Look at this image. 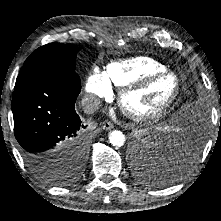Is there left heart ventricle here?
I'll return each mask as SVG.
<instances>
[{
  "label": "left heart ventricle",
  "mask_w": 221,
  "mask_h": 221,
  "mask_svg": "<svg viewBox=\"0 0 221 221\" xmlns=\"http://www.w3.org/2000/svg\"><path fill=\"white\" fill-rule=\"evenodd\" d=\"M175 83L170 77H163L146 88L133 93L126 99L129 108L136 112H150L161 106L173 93Z\"/></svg>",
  "instance_id": "b2bd125f"
}]
</instances>
